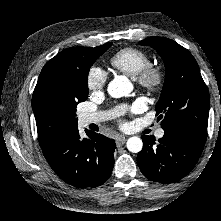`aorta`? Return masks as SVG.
<instances>
[{
    "label": "aorta",
    "mask_w": 221,
    "mask_h": 221,
    "mask_svg": "<svg viewBox=\"0 0 221 221\" xmlns=\"http://www.w3.org/2000/svg\"><path fill=\"white\" fill-rule=\"evenodd\" d=\"M133 90L132 83L125 76H116L109 84L107 91L113 98H120L127 96ZM143 142L137 137L133 136L127 140V149L132 153H138L142 150Z\"/></svg>",
    "instance_id": "aorta-1"
}]
</instances>
